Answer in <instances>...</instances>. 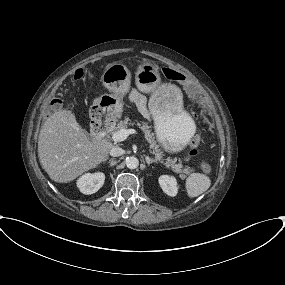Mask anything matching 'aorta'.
Returning <instances> with one entry per match:
<instances>
[{
	"mask_svg": "<svg viewBox=\"0 0 285 285\" xmlns=\"http://www.w3.org/2000/svg\"><path fill=\"white\" fill-rule=\"evenodd\" d=\"M138 165H139V160L136 157L131 156L126 159V166L129 169H136Z\"/></svg>",
	"mask_w": 285,
	"mask_h": 285,
	"instance_id": "762f6f07",
	"label": "aorta"
}]
</instances>
